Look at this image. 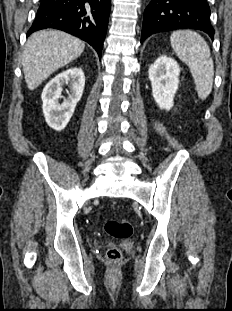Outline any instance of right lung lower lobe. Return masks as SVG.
Masks as SVG:
<instances>
[{"mask_svg": "<svg viewBox=\"0 0 232 311\" xmlns=\"http://www.w3.org/2000/svg\"><path fill=\"white\" fill-rule=\"evenodd\" d=\"M111 0H41L27 33L54 28L88 42L101 57Z\"/></svg>", "mask_w": 232, "mask_h": 311, "instance_id": "1", "label": "right lung lower lobe"}]
</instances>
